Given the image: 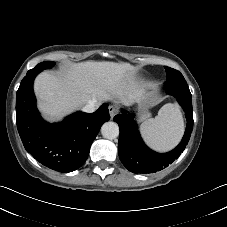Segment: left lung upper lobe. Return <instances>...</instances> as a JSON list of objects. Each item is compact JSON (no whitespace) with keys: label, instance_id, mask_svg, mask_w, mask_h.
<instances>
[{"label":"left lung upper lobe","instance_id":"obj_1","mask_svg":"<svg viewBox=\"0 0 227 227\" xmlns=\"http://www.w3.org/2000/svg\"><path fill=\"white\" fill-rule=\"evenodd\" d=\"M166 72H167V81H175V82H182L185 81L183 75L173 68L165 66Z\"/></svg>","mask_w":227,"mask_h":227}]
</instances>
